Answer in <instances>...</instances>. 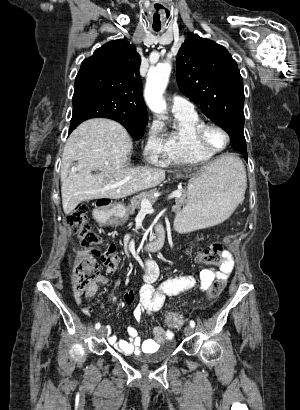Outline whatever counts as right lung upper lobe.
<instances>
[{
    "instance_id": "right-lung-upper-lobe-1",
    "label": "right lung upper lobe",
    "mask_w": 300,
    "mask_h": 410,
    "mask_svg": "<svg viewBox=\"0 0 300 410\" xmlns=\"http://www.w3.org/2000/svg\"><path fill=\"white\" fill-rule=\"evenodd\" d=\"M139 66L136 48L123 39L113 40L83 60L75 87L100 89L114 104L112 112L117 116L148 120Z\"/></svg>"
}]
</instances>
